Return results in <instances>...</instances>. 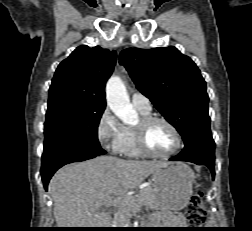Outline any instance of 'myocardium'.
Returning a JSON list of instances; mask_svg holds the SVG:
<instances>
[{
  "label": "myocardium",
  "mask_w": 252,
  "mask_h": 231,
  "mask_svg": "<svg viewBox=\"0 0 252 231\" xmlns=\"http://www.w3.org/2000/svg\"><path fill=\"white\" fill-rule=\"evenodd\" d=\"M156 122H161L166 124L171 131L173 132L176 144L174 148L166 153V154H158L151 150L147 143V132L149 128ZM136 142L139 147V149L147 156L155 157V158H170L173 155H175L180 148L182 147V136L178 130V128L168 119L160 116H147L143 117L140 122L137 124V126L134 127Z\"/></svg>",
  "instance_id": "obj_1"
}]
</instances>
